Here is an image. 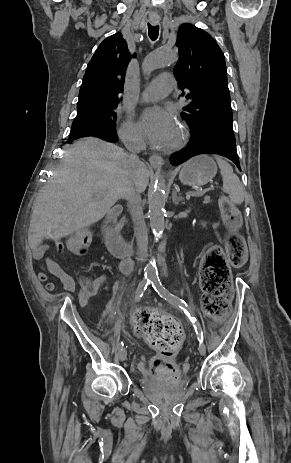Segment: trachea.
Returning a JSON list of instances; mask_svg holds the SVG:
<instances>
[{
  "label": "trachea",
  "mask_w": 291,
  "mask_h": 463,
  "mask_svg": "<svg viewBox=\"0 0 291 463\" xmlns=\"http://www.w3.org/2000/svg\"><path fill=\"white\" fill-rule=\"evenodd\" d=\"M148 35L151 40H156L159 35V26H152L148 24Z\"/></svg>",
  "instance_id": "trachea-1"
}]
</instances>
